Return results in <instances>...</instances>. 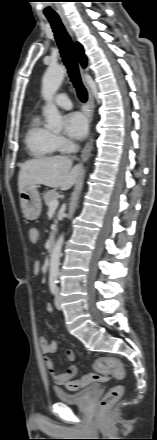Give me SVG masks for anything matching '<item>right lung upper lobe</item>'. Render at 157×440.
Instances as JSON below:
<instances>
[{
    "instance_id": "cb5924a9",
    "label": "right lung upper lobe",
    "mask_w": 157,
    "mask_h": 440,
    "mask_svg": "<svg viewBox=\"0 0 157 440\" xmlns=\"http://www.w3.org/2000/svg\"><path fill=\"white\" fill-rule=\"evenodd\" d=\"M76 52L81 65L83 67H86L87 64L86 56L84 54L83 47L79 43H76Z\"/></svg>"
}]
</instances>
